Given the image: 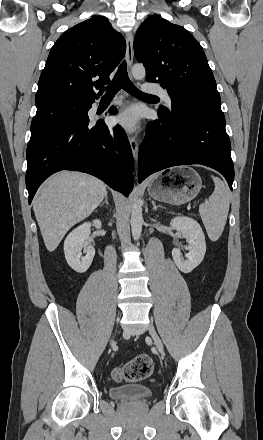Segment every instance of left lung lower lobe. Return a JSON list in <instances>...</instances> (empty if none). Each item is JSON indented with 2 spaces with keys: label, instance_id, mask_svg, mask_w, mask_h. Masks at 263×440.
<instances>
[{
  "label": "left lung lower lobe",
  "instance_id": "obj_1",
  "mask_svg": "<svg viewBox=\"0 0 263 440\" xmlns=\"http://www.w3.org/2000/svg\"><path fill=\"white\" fill-rule=\"evenodd\" d=\"M158 116L139 150V183L171 166L202 164L220 172L232 190L234 166L221 108H183Z\"/></svg>",
  "mask_w": 263,
  "mask_h": 440
}]
</instances>
